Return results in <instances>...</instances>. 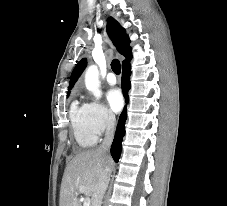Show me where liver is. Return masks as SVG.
<instances>
[{
	"mask_svg": "<svg viewBox=\"0 0 227 206\" xmlns=\"http://www.w3.org/2000/svg\"><path fill=\"white\" fill-rule=\"evenodd\" d=\"M112 166V159L98 149L75 155L67 164L63 175L59 206H81L78 194L93 196L101 174H110ZM81 186L85 188L83 192L79 191Z\"/></svg>",
	"mask_w": 227,
	"mask_h": 206,
	"instance_id": "liver-1",
	"label": "liver"
}]
</instances>
